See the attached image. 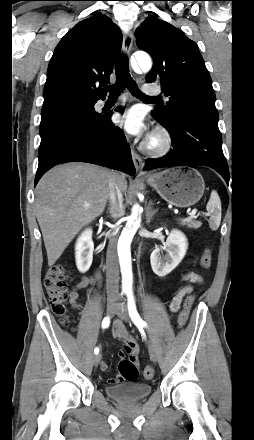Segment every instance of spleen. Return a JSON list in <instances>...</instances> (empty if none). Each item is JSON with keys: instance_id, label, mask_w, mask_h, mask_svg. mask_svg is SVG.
<instances>
[{"instance_id": "spleen-1", "label": "spleen", "mask_w": 254, "mask_h": 440, "mask_svg": "<svg viewBox=\"0 0 254 440\" xmlns=\"http://www.w3.org/2000/svg\"><path fill=\"white\" fill-rule=\"evenodd\" d=\"M206 209L211 213L209 226L212 230H217L221 221V201L218 193L213 190L210 199L207 203Z\"/></svg>"}]
</instances>
